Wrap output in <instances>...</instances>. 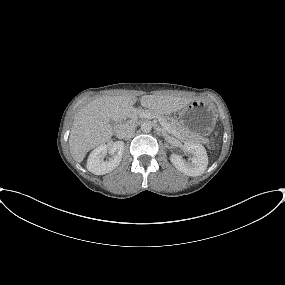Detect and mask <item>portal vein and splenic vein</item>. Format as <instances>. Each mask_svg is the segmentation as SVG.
<instances>
[{
    "instance_id": "18ae733b",
    "label": "portal vein and splenic vein",
    "mask_w": 285,
    "mask_h": 285,
    "mask_svg": "<svg viewBox=\"0 0 285 285\" xmlns=\"http://www.w3.org/2000/svg\"><path fill=\"white\" fill-rule=\"evenodd\" d=\"M141 116L144 118H154V116L150 113H141ZM161 126L166 130V131H170V127L167 123H165L162 120H159Z\"/></svg>"
}]
</instances>
